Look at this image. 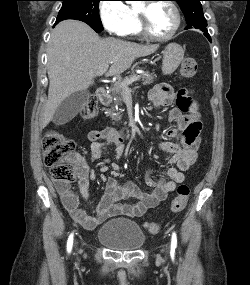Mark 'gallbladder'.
<instances>
[{
  "label": "gallbladder",
  "mask_w": 250,
  "mask_h": 285,
  "mask_svg": "<svg viewBox=\"0 0 250 285\" xmlns=\"http://www.w3.org/2000/svg\"><path fill=\"white\" fill-rule=\"evenodd\" d=\"M90 92L87 90L78 91L67 97L56 109L53 122L56 125H63L71 121L82 108L87 104Z\"/></svg>",
  "instance_id": "1"
}]
</instances>
